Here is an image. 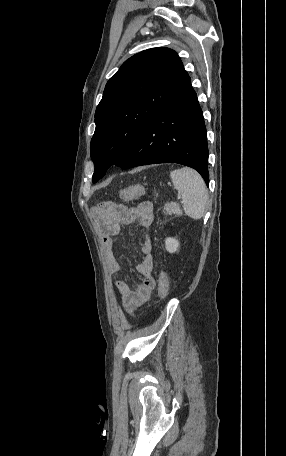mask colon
<instances>
[{
  "mask_svg": "<svg viewBox=\"0 0 286 456\" xmlns=\"http://www.w3.org/2000/svg\"><path fill=\"white\" fill-rule=\"evenodd\" d=\"M145 191V188L141 185H135V186H130L125 189H123L120 192V198L121 199H134L139 196H141ZM113 204L112 202H102L99 205L100 209H105V210H110L112 209ZM169 292V280L165 274H162L159 280V296L160 298H165L168 295Z\"/></svg>",
  "mask_w": 286,
  "mask_h": 456,
  "instance_id": "1",
  "label": "colon"
}]
</instances>
